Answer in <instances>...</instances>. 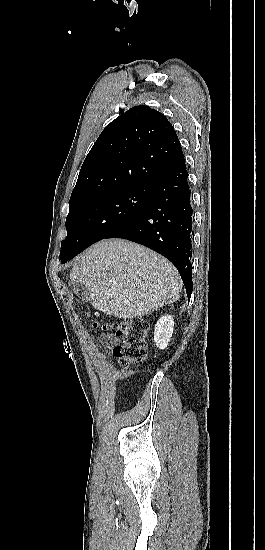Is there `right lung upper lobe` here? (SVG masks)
I'll list each match as a JSON object with an SVG mask.
<instances>
[{"label":"right lung upper lobe","mask_w":265,"mask_h":550,"mask_svg":"<svg viewBox=\"0 0 265 550\" xmlns=\"http://www.w3.org/2000/svg\"><path fill=\"white\" fill-rule=\"evenodd\" d=\"M182 157L167 118L149 106L133 107L108 124L96 140L69 204L130 187L155 186Z\"/></svg>","instance_id":"cb5924a9"}]
</instances>
